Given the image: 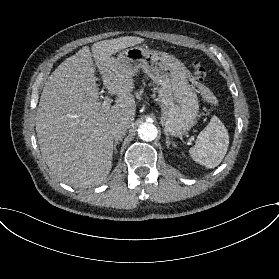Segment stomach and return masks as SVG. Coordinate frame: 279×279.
<instances>
[{
    "mask_svg": "<svg viewBox=\"0 0 279 279\" xmlns=\"http://www.w3.org/2000/svg\"><path fill=\"white\" fill-rule=\"evenodd\" d=\"M118 59L136 75L141 69L158 90L161 121L165 131L174 137L185 135L194 125L199 113V101L190 72L174 55L136 46L121 51Z\"/></svg>",
    "mask_w": 279,
    "mask_h": 279,
    "instance_id": "stomach-1",
    "label": "stomach"
}]
</instances>
